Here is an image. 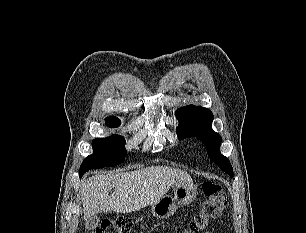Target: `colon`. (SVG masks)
I'll use <instances>...</instances> for the list:
<instances>
[{"mask_svg": "<svg viewBox=\"0 0 306 233\" xmlns=\"http://www.w3.org/2000/svg\"><path fill=\"white\" fill-rule=\"evenodd\" d=\"M205 200L195 217L176 233H199L218 219L226 207V194L219 183L205 181L202 184ZM133 223L128 219L105 220L93 233H131Z\"/></svg>", "mask_w": 306, "mask_h": 233, "instance_id": "obj_1", "label": "colon"}]
</instances>
